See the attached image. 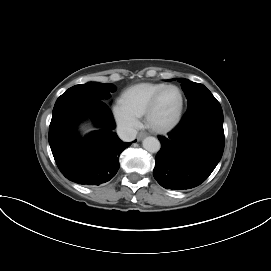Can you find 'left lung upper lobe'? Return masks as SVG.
<instances>
[{
	"label": "left lung upper lobe",
	"mask_w": 271,
	"mask_h": 271,
	"mask_svg": "<svg viewBox=\"0 0 271 271\" xmlns=\"http://www.w3.org/2000/svg\"><path fill=\"white\" fill-rule=\"evenodd\" d=\"M178 81L181 82V86L186 95L189 108L199 102L215 99L212 93L200 83L191 82L182 78L178 79Z\"/></svg>",
	"instance_id": "1"
}]
</instances>
